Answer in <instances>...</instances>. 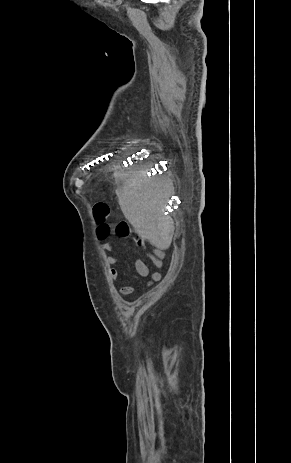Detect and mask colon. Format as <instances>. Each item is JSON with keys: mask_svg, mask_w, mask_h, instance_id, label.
<instances>
[{"mask_svg": "<svg viewBox=\"0 0 291 463\" xmlns=\"http://www.w3.org/2000/svg\"><path fill=\"white\" fill-rule=\"evenodd\" d=\"M111 214L110 206L107 203H96L93 207V217L96 222V235L99 239L105 240L111 237L114 231L118 236L123 238H133L134 236L132 226L126 221H120L115 226L108 222Z\"/></svg>", "mask_w": 291, "mask_h": 463, "instance_id": "1", "label": "colon"}]
</instances>
